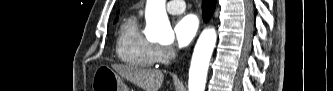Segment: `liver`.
<instances>
[{"label":"liver","mask_w":333,"mask_h":91,"mask_svg":"<svg viewBox=\"0 0 333 91\" xmlns=\"http://www.w3.org/2000/svg\"><path fill=\"white\" fill-rule=\"evenodd\" d=\"M111 67L120 76L139 86L144 91H158L163 83L164 75L159 70L120 64H113Z\"/></svg>","instance_id":"obj_1"}]
</instances>
